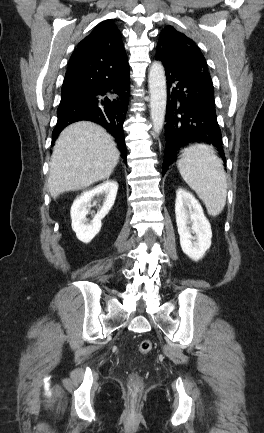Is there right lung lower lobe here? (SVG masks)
I'll return each mask as SVG.
<instances>
[{
  "instance_id": "right-lung-lower-lobe-1",
  "label": "right lung lower lobe",
  "mask_w": 264,
  "mask_h": 433,
  "mask_svg": "<svg viewBox=\"0 0 264 433\" xmlns=\"http://www.w3.org/2000/svg\"><path fill=\"white\" fill-rule=\"evenodd\" d=\"M129 89L128 62L117 66L93 65L68 69L52 141L71 123L88 120L102 125L116 138L126 159L123 123Z\"/></svg>"
}]
</instances>
